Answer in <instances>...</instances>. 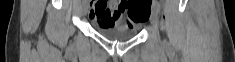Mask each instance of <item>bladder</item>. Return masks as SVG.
Wrapping results in <instances>:
<instances>
[{"instance_id": "1", "label": "bladder", "mask_w": 235, "mask_h": 62, "mask_svg": "<svg viewBox=\"0 0 235 62\" xmlns=\"http://www.w3.org/2000/svg\"><path fill=\"white\" fill-rule=\"evenodd\" d=\"M96 31L104 38L111 41H127L136 36L138 27H100Z\"/></svg>"}]
</instances>
